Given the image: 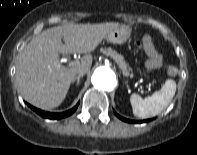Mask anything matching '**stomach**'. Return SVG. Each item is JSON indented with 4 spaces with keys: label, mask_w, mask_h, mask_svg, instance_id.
<instances>
[{
    "label": "stomach",
    "mask_w": 197,
    "mask_h": 155,
    "mask_svg": "<svg viewBox=\"0 0 197 155\" xmlns=\"http://www.w3.org/2000/svg\"><path fill=\"white\" fill-rule=\"evenodd\" d=\"M131 33L132 29L129 25H120L111 30L106 39L114 44H123L130 38Z\"/></svg>",
    "instance_id": "0dacf381"
}]
</instances>
